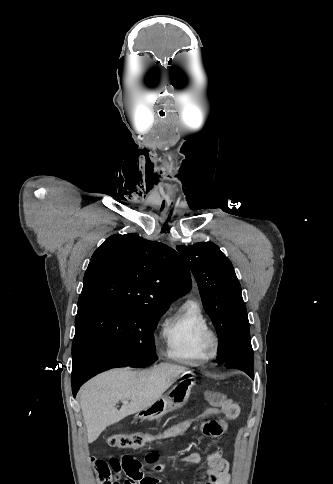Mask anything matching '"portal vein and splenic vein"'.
Listing matches in <instances>:
<instances>
[{"label": "portal vein and splenic vein", "mask_w": 333, "mask_h": 484, "mask_svg": "<svg viewBox=\"0 0 333 484\" xmlns=\"http://www.w3.org/2000/svg\"><path fill=\"white\" fill-rule=\"evenodd\" d=\"M123 403H127V401H123Z\"/></svg>", "instance_id": "portal-vein-and-splenic-vein-1"}]
</instances>
